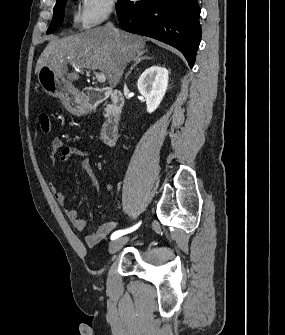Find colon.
Returning a JSON list of instances; mask_svg holds the SVG:
<instances>
[{
	"instance_id": "colon-1",
	"label": "colon",
	"mask_w": 285,
	"mask_h": 335,
	"mask_svg": "<svg viewBox=\"0 0 285 335\" xmlns=\"http://www.w3.org/2000/svg\"><path fill=\"white\" fill-rule=\"evenodd\" d=\"M38 120L41 130L44 133H49L51 130V121L49 115L46 113H41L38 117Z\"/></svg>"
}]
</instances>
